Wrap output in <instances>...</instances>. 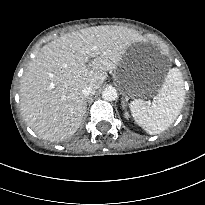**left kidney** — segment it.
I'll list each match as a JSON object with an SVG mask.
<instances>
[{
  "instance_id": "5707ae66",
  "label": "left kidney",
  "mask_w": 205,
  "mask_h": 205,
  "mask_svg": "<svg viewBox=\"0 0 205 205\" xmlns=\"http://www.w3.org/2000/svg\"><path fill=\"white\" fill-rule=\"evenodd\" d=\"M124 116H125L126 119L130 118V115L127 111H125Z\"/></svg>"
}]
</instances>
